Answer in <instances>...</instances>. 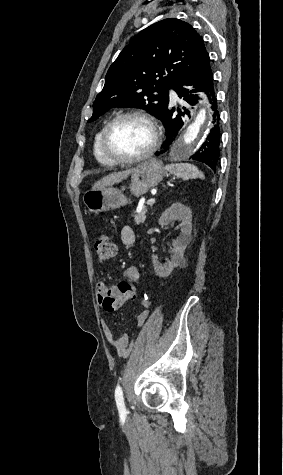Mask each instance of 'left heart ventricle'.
<instances>
[{"mask_svg":"<svg viewBox=\"0 0 283 475\" xmlns=\"http://www.w3.org/2000/svg\"><path fill=\"white\" fill-rule=\"evenodd\" d=\"M152 138L151 126L145 120L137 117L124 118L111 129L107 151L113 157H136L149 148Z\"/></svg>","mask_w":283,"mask_h":475,"instance_id":"b2bd125f","label":"left heart ventricle"}]
</instances>
